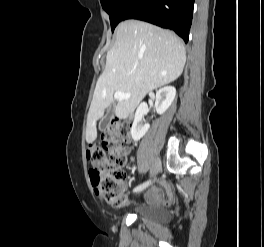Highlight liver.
I'll return each mask as SVG.
<instances>
[{"instance_id":"6515ba94","label":"liver","mask_w":264,"mask_h":247,"mask_svg":"<svg viewBox=\"0 0 264 247\" xmlns=\"http://www.w3.org/2000/svg\"><path fill=\"white\" fill-rule=\"evenodd\" d=\"M185 62L184 45L172 32L137 20L121 22L95 87L87 120V143L96 140V122L114 104L116 91L131 94L114 106L116 116L125 119L148 92L176 80Z\"/></svg>"}]
</instances>
